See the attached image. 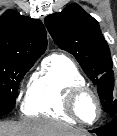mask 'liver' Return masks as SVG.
<instances>
[{
    "instance_id": "1",
    "label": "liver",
    "mask_w": 117,
    "mask_h": 136,
    "mask_svg": "<svg viewBox=\"0 0 117 136\" xmlns=\"http://www.w3.org/2000/svg\"><path fill=\"white\" fill-rule=\"evenodd\" d=\"M0 136H89L80 129L51 120L25 119L0 123Z\"/></svg>"
}]
</instances>
